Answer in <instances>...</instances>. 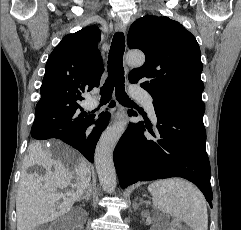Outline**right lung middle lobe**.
I'll list each match as a JSON object with an SVG mask.
<instances>
[{
	"mask_svg": "<svg viewBox=\"0 0 241 230\" xmlns=\"http://www.w3.org/2000/svg\"><path fill=\"white\" fill-rule=\"evenodd\" d=\"M77 105L53 106L47 110H38V121L51 131L70 132L78 129L88 118ZM33 138L40 140L32 135Z\"/></svg>",
	"mask_w": 241,
	"mask_h": 230,
	"instance_id": "dd1d6c3e",
	"label": "right lung middle lobe"
}]
</instances>
